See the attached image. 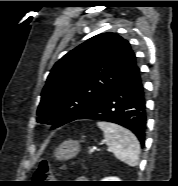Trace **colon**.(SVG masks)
<instances>
[{"label":"colon","mask_w":178,"mask_h":186,"mask_svg":"<svg viewBox=\"0 0 178 186\" xmlns=\"http://www.w3.org/2000/svg\"><path fill=\"white\" fill-rule=\"evenodd\" d=\"M52 177L53 173L50 162L42 160L36 170L35 179L43 182H50Z\"/></svg>","instance_id":"1"}]
</instances>
